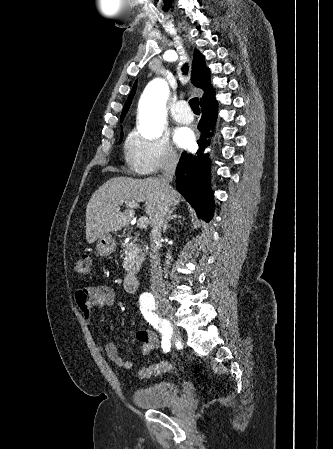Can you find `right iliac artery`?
Masks as SVG:
<instances>
[{"instance_id":"1","label":"right iliac artery","mask_w":333,"mask_h":449,"mask_svg":"<svg viewBox=\"0 0 333 449\" xmlns=\"http://www.w3.org/2000/svg\"><path fill=\"white\" fill-rule=\"evenodd\" d=\"M140 308L145 319L162 334V348L164 352H168L171 348V327L169 321L162 320L155 314V301L151 294L144 293L140 296Z\"/></svg>"}]
</instances>
